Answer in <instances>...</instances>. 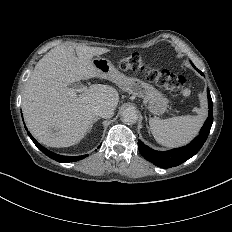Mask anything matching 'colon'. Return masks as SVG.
Segmentation results:
<instances>
[{
  "instance_id": "5ec220e1",
  "label": "colon",
  "mask_w": 232,
  "mask_h": 232,
  "mask_svg": "<svg viewBox=\"0 0 232 232\" xmlns=\"http://www.w3.org/2000/svg\"><path fill=\"white\" fill-rule=\"evenodd\" d=\"M140 61H145V56H119L115 60V65L119 69L128 70V73H143L147 71L150 79L159 84L164 91L180 93L183 97H189L193 93V88L189 81L179 74L168 73L162 66H139Z\"/></svg>"
}]
</instances>
